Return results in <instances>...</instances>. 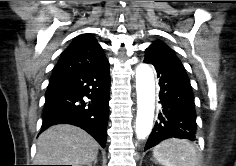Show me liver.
I'll use <instances>...</instances> for the list:
<instances>
[{
    "label": "liver",
    "instance_id": "obj_1",
    "mask_svg": "<svg viewBox=\"0 0 236 166\" xmlns=\"http://www.w3.org/2000/svg\"><path fill=\"white\" fill-rule=\"evenodd\" d=\"M98 149V143L84 130L58 124L38 137L34 161L37 165H90Z\"/></svg>",
    "mask_w": 236,
    "mask_h": 166
}]
</instances>
